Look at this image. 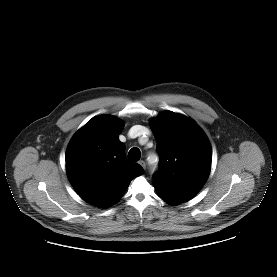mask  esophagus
Listing matches in <instances>:
<instances>
[{"mask_svg": "<svg viewBox=\"0 0 277 277\" xmlns=\"http://www.w3.org/2000/svg\"><path fill=\"white\" fill-rule=\"evenodd\" d=\"M139 164L142 166L143 169L146 168V164H145V162L143 160H140Z\"/></svg>", "mask_w": 277, "mask_h": 277, "instance_id": "1", "label": "esophagus"}]
</instances>
